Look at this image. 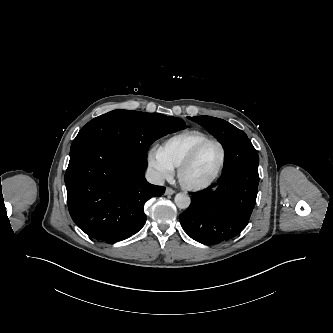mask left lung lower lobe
Instances as JSON below:
<instances>
[{
	"label": "left lung lower lobe",
	"mask_w": 333,
	"mask_h": 333,
	"mask_svg": "<svg viewBox=\"0 0 333 333\" xmlns=\"http://www.w3.org/2000/svg\"><path fill=\"white\" fill-rule=\"evenodd\" d=\"M259 157L248 137L225 149L224 169L217 183L191 193L190 206L179 215L185 232L203 244H218L238 235L256 203Z\"/></svg>",
	"instance_id": "obj_1"
}]
</instances>
